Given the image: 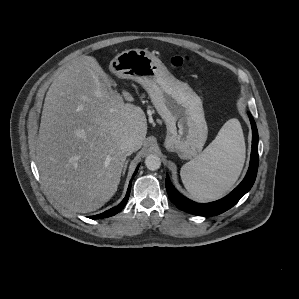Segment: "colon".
Returning a JSON list of instances; mask_svg holds the SVG:
<instances>
[{
    "mask_svg": "<svg viewBox=\"0 0 299 299\" xmlns=\"http://www.w3.org/2000/svg\"><path fill=\"white\" fill-rule=\"evenodd\" d=\"M191 59L188 56L175 55L171 58L170 62L174 67H187Z\"/></svg>",
    "mask_w": 299,
    "mask_h": 299,
    "instance_id": "obj_1",
    "label": "colon"
}]
</instances>
